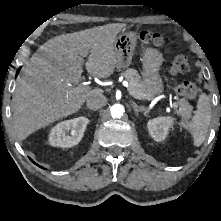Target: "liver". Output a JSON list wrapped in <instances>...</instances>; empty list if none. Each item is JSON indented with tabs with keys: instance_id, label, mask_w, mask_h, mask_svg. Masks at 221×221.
<instances>
[{
	"instance_id": "obj_1",
	"label": "liver",
	"mask_w": 221,
	"mask_h": 221,
	"mask_svg": "<svg viewBox=\"0 0 221 221\" xmlns=\"http://www.w3.org/2000/svg\"><path fill=\"white\" fill-rule=\"evenodd\" d=\"M124 24L113 23L55 36L38 48L24 69L13 103V125L20 140L54 121L76 113L103 90L73 89L86 69L97 78L110 77L116 67L114 43Z\"/></svg>"
}]
</instances>
